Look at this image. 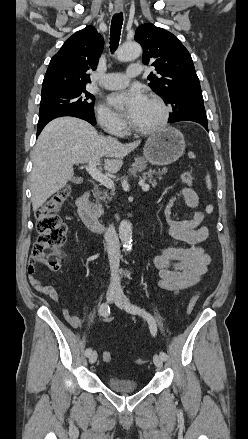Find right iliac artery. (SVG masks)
I'll use <instances>...</instances> for the list:
<instances>
[{"label": "right iliac artery", "mask_w": 248, "mask_h": 439, "mask_svg": "<svg viewBox=\"0 0 248 439\" xmlns=\"http://www.w3.org/2000/svg\"><path fill=\"white\" fill-rule=\"evenodd\" d=\"M100 313L104 317H107L110 314V308H109V306L106 303H103L100 306ZM91 352H92V349L91 348H87L85 350V356H89Z\"/></svg>", "instance_id": "82829eb1"}]
</instances>
